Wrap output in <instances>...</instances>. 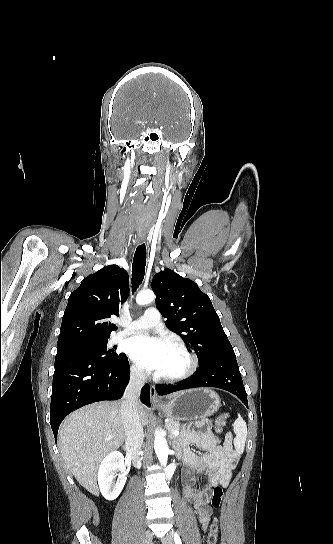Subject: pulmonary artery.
I'll return each instance as SVG.
<instances>
[{"label": "pulmonary artery", "mask_w": 333, "mask_h": 544, "mask_svg": "<svg viewBox=\"0 0 333 544\" xmlns=\"http://www.w3.org/2000/svg\"><path fill=\"white\" fill-rule=\"evenodd\" d=\"M119 323L124 327V330L113 337L114 342L129 334L158 326L160 323V314L156 308L150 307L146 309L144 315L140 318L131 322L120 321Z\"/></svg>", "instance_id": "pulmonary-artery-1"}]
</instances>
